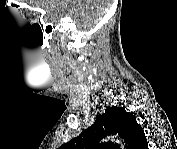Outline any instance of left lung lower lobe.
Masks as SVG:
<instances>
[{
  "label": "left lung lower lobe",
  "instance_id": "obj_1",
  "mask_svg": "<svg viewBox=\"0 0 177 149\" xmlns=\"http://www.w3.org/2000/svg\"><path fill=\"white\" fill-rule=\"evenodd\" d=\"M141 148H148V143H147V139H146V137H144L143 139H142V145H141Z\"/></svg>",
  "mask_w": 177,
  "mask_h": 149
}]
</instances>
